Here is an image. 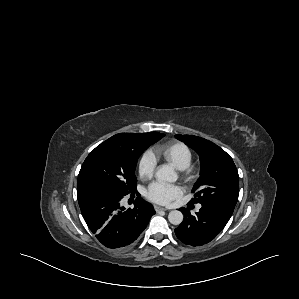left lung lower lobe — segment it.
<instances>
[{
	"instance_id": "obj_1",
	"label": "left lung lower lobe",
	"mask_w": 299,
	"mask_h": 299,
	"mask_svg": "<svg viewBox=\"0 0 299 299\" xmlns=\"http://www.w3.org/2000/svg\"><path fill=\"white\" fill-rule=\"evenodd\" d=\"M180 210L184 220L175 229V234L180 241L191 246H201L213 240L231 217L219 208L206 204H202L194 216L186 208Z\"/></svg>"
}]
</instances>
